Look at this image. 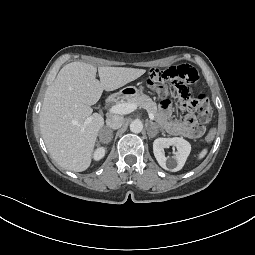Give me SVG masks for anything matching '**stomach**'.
Masks as SVG:
<instances>
[{"label":"stomach","mask_w":255,"mask_h":255,"mask_svg":"<svg viewBox=\"0 0 255 255\" xmlns=\"http://www.w3.org/2000/svg\"><path fill=\"white\" fill-rule=\"evenodd\" d=\"M143 86H140L139 88L133 87V86H129L124 88L120 94L124 97V98H130V97H134L138 94H140L143 91Z\"/></svg>","instance_id":"1"}]
</instances>
